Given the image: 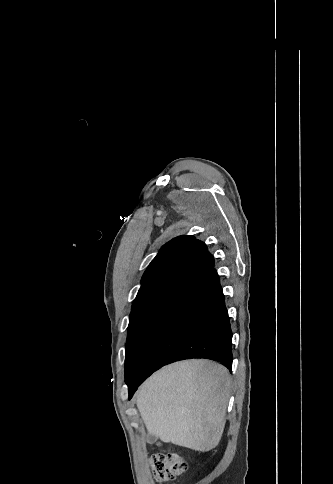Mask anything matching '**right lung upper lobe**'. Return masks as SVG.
<instances>
[{"label": "right lung upper lobe", "instance_id": "obj_1", "mask_svg": "<svg viewBox=\"0 0 333 484\" xmlns=\"http://www.w3.org/2000/svg\"><path fill=\"white\" fill-rule=\"evenodd\" d=\"M214 258L207 246L193 236H179L166 243L146 269L132 309L168 296L210 270Z\"/></svg>", "mask_w": 333, "mask_h": 484}]
</instances>
